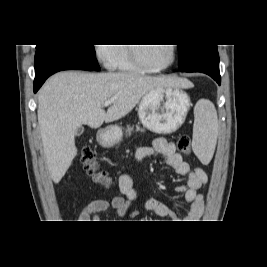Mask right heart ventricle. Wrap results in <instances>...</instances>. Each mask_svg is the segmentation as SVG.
Returning a JSON list of instances; mask_svg holds the SVG:
<instances>
[{"label":"right heart ventricle","mask_w":267,"mask_h":267,"mask_svg":"<svg viewBox=\"0 0 267 267\" xmlns=\"http://www.w3.org/2000/svg\"><path fill=\"white\" fill-rule=\"evenodd\" d=\"M113 67L119 71L137 72L140 71L131 61L129 51L126 46L115 47Z\"/></svg>","instance_id":"1"}]
</instances>
